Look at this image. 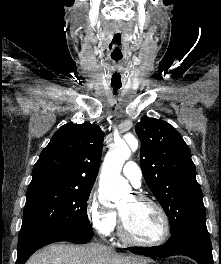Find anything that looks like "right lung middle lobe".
I'll return each instance as SVG.
<instances>
[{"label":"right lung middle lobe","instance_id":"obj_1","mask_svg":"<svg viewBox=\"0 0 221 264\" xmlns=\"http://www.w3.org/2000/svg\"><path fill=\"white\" fill-rule=\"evenodd\" d=\"M91 189L48 186L28 190L19 238L36 232L91 229L86 210Z\"/></svg>","mask_w":221,"mask_h":264}]
</instances>
